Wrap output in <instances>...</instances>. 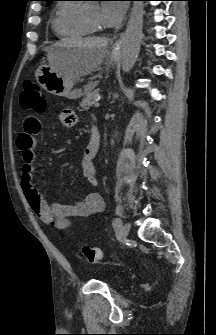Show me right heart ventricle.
<instances>
[{
    "label": "right heart ventricle",
    "mask_w": 216,
    "mask_h": 335,
    "mask_svg": "<svg viewBox=\"0 0 216 335\" xmlns=\"http://www.w3.org/2000/svg\"><path fill=\"white\" fill-rule=\"evenodd\" d=\"M63 2L57 5L52 28L59 38H82L91 33L82 18L80 4Z\"/></svg>",
    "instance_id": "right-heart-ventricle-1"
}]
</instances>
